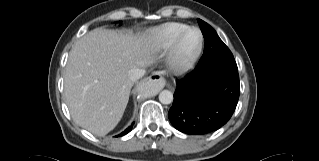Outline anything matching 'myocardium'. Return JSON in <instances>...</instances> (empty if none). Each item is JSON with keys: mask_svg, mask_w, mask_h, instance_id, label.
Wrapping results in <instances>:
<instances>
[{"mask_svg": "<svg viewBox=\"0 0 319 161\" xmlns=\"http://www.w3.org/2000/svg\"><path fill=\"white\" fill-rule=\"evenodd\" d=\"M192 30H196L199 33L200 39L196 50L188 57L182 58L179 54V46L183 39V37ZM204 36L200 28L191 26L182 30L177 36L174 38L172 44L169 48L168 60L171 68L175 71H184L189 69L197 60L200 55V52L203 47Z\"/></svg>", "mask_w": 319, "mask_h": 161, "instance_id": "1", "label": "myocardium"}]
</instances>
